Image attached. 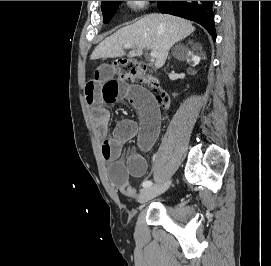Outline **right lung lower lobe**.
Segmentation results:
<instances>
[{
	"label": "right lung lower lobe",
	"instance_id": "1",
	"mask_svg": "<svg viewBox=\"0 0 271 266\" xmlns=\"http://www.w3.org/2000/svg\"><path fill=\"white\" fill-rule=\"evenodd\" d=\"M214 1H157L162 13L180 16L202 25L216 39L212 5Z\"/></svg>",
	"mask_w": 271,
	"mask_h": 266
}]
</instances>
